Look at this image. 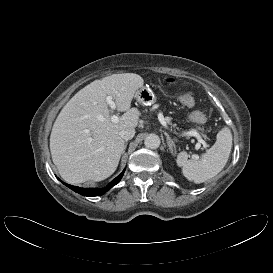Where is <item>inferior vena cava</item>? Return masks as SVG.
<instances>
[{"instance_id":"inferior-vena-cava-1","label":"inferior vena cava","mask_w":273,"mask_h":273,"mask_svg":"<svg viewBox=\"0 0 273 273\" xmlns=\"http://www.w3.org/2000/svg\"><path fill=\"white\" fill-rule=\"evenodd\" d=\"M119 135L121 136L122 139L124 140H130L134 137L135 135V129H125L120 131Z\"/></svg>"}]
</instances>
